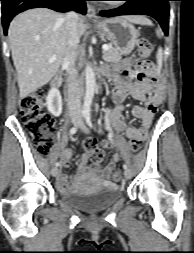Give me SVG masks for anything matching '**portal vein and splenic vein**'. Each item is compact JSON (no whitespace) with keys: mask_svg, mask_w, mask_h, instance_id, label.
Listing matches in <instances>:
<instances>
[{"mask_svg":"<svg viewBox=\"0 0 194 253\" xmlns=\"http://www.w3.org/2000/svg\"><path fill=\"white\" fill-rule=\"evenodd\" d=\"M102 49H103V51H107L108 49H109V46L108 45H106V44H104L103 46H102ZM55 55H53L50 59H49V62H53L54 60H55Z\"/></svg>","mask_w":194,"mask_h":253,"instance_id":"portal-vein-and-splenic-vein-1","label":"portal vein and splenic vein"}]
</instances>
